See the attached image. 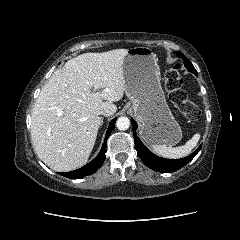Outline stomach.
Listing matches in <instances>:
<instances>
[{"label":"stomach","instance_id":"obj_1","mask_svg":"<svg viewBox=\"0 0 240 240\" xmlns=\"http://www.w3.org/2000/svg\"><path fill=\"white\" fill-rule=\"evenodd\" d=\"M128 107L140 123V135L148 145L173 146L182 138L160 85L156 55L150 48L134 47L123 60Z\"/></svg>","mask_w":240,"mask_h":240}]
</instances>
